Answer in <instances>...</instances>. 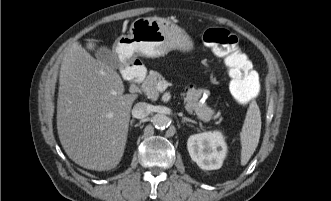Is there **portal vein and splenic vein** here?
<instances>
[{"mask_svg": "<svg viewBox=\"0 0 331 201\" xmlns=\"http://www.w3.org/2000/svg\"><path fill=\"white\" fill-rule=\"evenodd\" d=\"M157 89L160 90V91H164V90L166 89L165 82L160 81V82L157 84Z\"/></svg>", "mask_w": 331, "mask_h": 201, "instance_id": "portal-vein-and-splenic-vein-1", "label": "portal vein and splenic vein"}]
</instances>
